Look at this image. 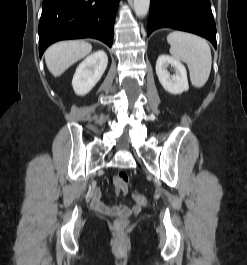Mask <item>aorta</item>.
<instances>
[{
	"label": "aorta",
	"mask_w": 247,
	"mask_h": 265,
	"mask_svg": "<svg viewBox=\"0 0 247 265\" xmlns=\"http://www.w3.org/2000/svg\"><path fill=\"white\" fill-rule=\"evenodd\" d=\"M150 0H134V11L138 17H145L149 11Z\"/></svg>",
	"instance_id": "obj_1"
}]
</instances>
